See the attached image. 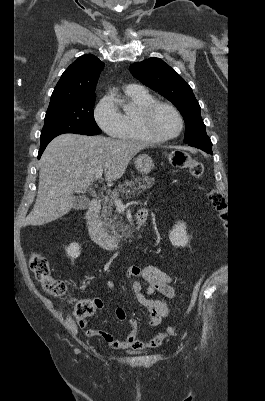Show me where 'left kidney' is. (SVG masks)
Segmentation results:
<instances>
[{"instance_id": "obj_1", "label": "left kidney", "mask_w": 265, "mask_h": 401, "mask_svg": "<svg viewBox=\"0 0 265 401\" xmlns=\"http://www.w3.org/2000/svg\"><path fill=\"white\" fill-rule=\"evenodd\" d=\"M185 223H177L174 225L172 231L169 233V239L173 245V247H186L188 245V237L185 231Z\"/></svg>"}]
</instances>
